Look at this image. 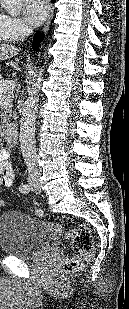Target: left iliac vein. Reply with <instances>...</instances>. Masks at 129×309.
<instances>
[{"mask_svg":"<svg viewBox=\"0 0 129 309\" xmlns=\"http://www.w3.org/2000/svg\"><path fill=\"white\" fill-rule=\"evenodd\" d=\"M31 190L35 192L36 194L41 193V187L38 183V180H35V182L31 184Z\"/></svg>","mask_w":129,"mask_h":309,"instance_id":"4c4485c4","label":"left iliac vein"}]
</instances>
